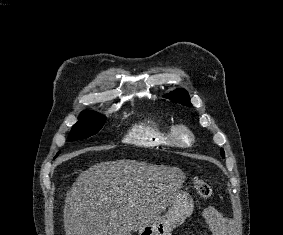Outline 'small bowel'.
I'll list each match as a JSON object with an SVG mask.
<instances>
[{"mask_svg":"<svg viewBox=\"0 0 283 235\" xmlns=\"http://www.w3.org/2000/svg\"><path fill=\"white\" fill-rule=\"evenodd\" d=\"M202 216L212 230L213 235H229L231 223L216 208L213 206L206 207L202 212Z\"/></svg>","mask_w":283,"mask_h":235,"instance_id":"1","label":"small bowel"}]
</instances>
